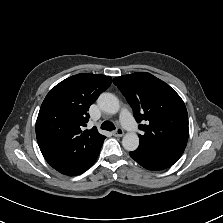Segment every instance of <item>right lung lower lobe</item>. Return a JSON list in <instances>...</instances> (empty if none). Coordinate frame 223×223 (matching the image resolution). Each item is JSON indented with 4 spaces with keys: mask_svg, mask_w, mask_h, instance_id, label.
<instances>
[{
    "mask_svg": "<svg viewBox=\"0 0 223 223\" xmlns=\"http://www.w3.org/2000/svg\"><path fill=\"white\" fill-rule=\"evenodd\" d=\"M100 152V151H99ZM99 155V154H98ZM98 155L95 157V159L86 167V169L83 171V172H85L89 167H91L92 166V164L96 161V159H97V157H98ZM82 172V173H83ZM81 174V173H80Z\"/></svg>",
    "mask_w": 223,
    "mask_h": 223,
    "instance_id": "right-lung-lower-lobe-1",
    "label": "right lung lower lobe"
}]
</instances>
